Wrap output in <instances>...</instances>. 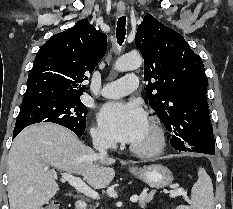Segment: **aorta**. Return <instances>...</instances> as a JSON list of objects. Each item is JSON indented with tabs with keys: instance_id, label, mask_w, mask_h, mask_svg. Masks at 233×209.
Listing matches in <instances>:
<instances>
[{
	"instance_id": "762f6f07",
	"label": "aorta",
	"mask_w": 233,
	"mask_h": 209,
	"mask_svg": "<svg viewBox=\"0 0 233 209\" xmlns=\"http://www.w3.org/2000/svg\"><path fill=\"white\" fill-rule=\"evenodd\" d=\"M142 57L139 54L131 53L120 57L114 68L118 71H129L139 68L142 65Z\"/></svg>"
}]
</instances>
